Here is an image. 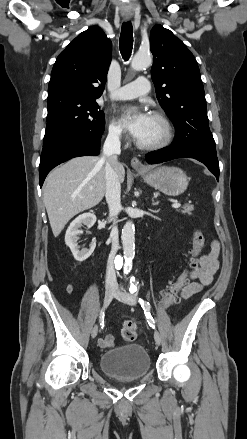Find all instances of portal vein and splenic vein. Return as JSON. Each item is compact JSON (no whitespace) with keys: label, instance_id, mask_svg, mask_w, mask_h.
<instances>
[{"label":"portal vein and splenic vein","instance_id":"obj_1","mask_svg":"<svg viewBox=\"0 0 247 439\" xmlns=\"http://www.w3.org/2000/svg\"><path fill=\"white\" fill-rule=\"evenodd\" d=\"M180 206H181L180 202H174V203L172 204V207H173V208H179Z\"/></svg>","mask_w":247,"mask_h":439}]
</instances>
